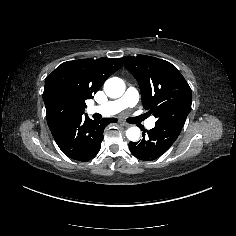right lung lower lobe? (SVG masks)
<instances>
[{
  "label": "right lung lower lobe",
  "instance_id": "98d812e1",
  "mask_svg": "<svg viewBox=\"0 0 236 236\" xmlns=\"http://www.w3.org/2000/svg\"><path fill=\"white\" fill-rule=\"evenodd\" d=\"M116 118L93 121L83 114L48 124L55 142L61 151L71 159L89 161L101 148L103 130Z\"/></svg>",
  "mask_w": 236,
  "mask_h": 236
}]
</instances>
